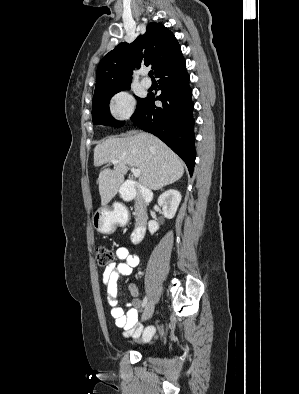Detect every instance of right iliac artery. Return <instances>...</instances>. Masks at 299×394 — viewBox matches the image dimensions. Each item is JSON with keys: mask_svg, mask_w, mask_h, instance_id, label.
Here are the masks:
<instances>
[{"mask_svg": "<svg viewBox=\"0 0 299 394\" xmlns=\"http://www.w3.org/2000/svg\"><path fill=\"white\" fill-rule=\"evenodd\" d=\"M147 302H148V298L145 296L143 301H142V308L146 307Z\"/></svg>", "mask_w": 299, "mask_h": 394, "instance_id": "obj_1", "label": "right iliac artery"}]
</instances>
